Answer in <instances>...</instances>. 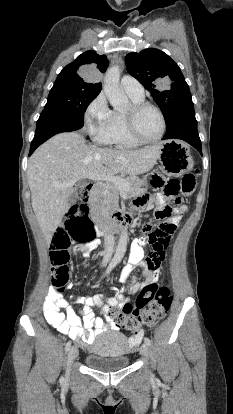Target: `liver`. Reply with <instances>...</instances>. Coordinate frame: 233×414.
I'll return each instance as SVG.
<instances>
[{
    "instance_id": "6515ba94",
    "label": "liver",
    "mask_w": 233,
    "mask_h": 414,
    "mask_svg": "<svg viewBox=\"0 0 233 414\" xmlns=\"http://www.w3.org/2000/svg\"><path fill=\"white\" fill-rule=\"evenodd\" d=\"M161 144L142 149L101 148L86 143L77 132L56 134L36 149L28 161L32 208L49 245L68 211L73 186L88 174L139 175L150 171Z\"/></svg>"
}]
</instances>
